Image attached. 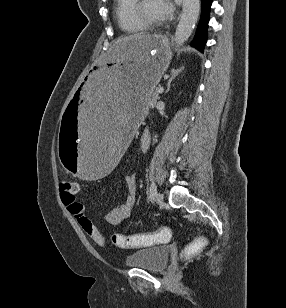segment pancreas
Listing matches in <instances>:
<instances>
[{
    "instance_id": "1",
    "label": "pancreas",
    "mask_w": 286,
    "mask_h": 308,
    "mask_svg": "<svg viewBox=\"0 0 286 308\" xmlns=\"http://www.w3.org/2000/svg\"><path fill=\"white\" fill-rule=\"evenodd\" d=\"M157 89L158 88L154 89V91H153V93H152V95H151V97L148 101V106H150V107H154L157 99L159 98V93L157 92Z\"/></svg>"
}]
</instances>
